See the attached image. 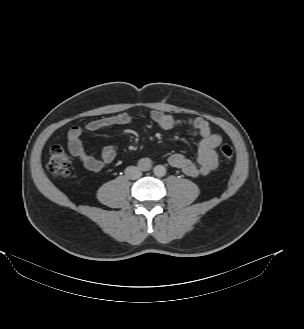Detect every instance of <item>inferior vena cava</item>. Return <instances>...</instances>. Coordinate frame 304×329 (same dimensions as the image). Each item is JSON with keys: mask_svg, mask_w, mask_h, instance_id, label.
<instances>
[{"mask_svg": "<svg viewBox=\"0 0 304 329\" xmlns=\"http://www.w3.org/2000/svg\"><path fill=\"white\" fill-rule=\"evenodd\" d=\"M125 174L129 179L135 180L141 177L142 172L138 167L129 166L126 168Z\"/></svg>", "mask_w": 304, "mask_h": 329, "instance_id": "602c4592", "label": "inferior vena cava"}]
</instances>
